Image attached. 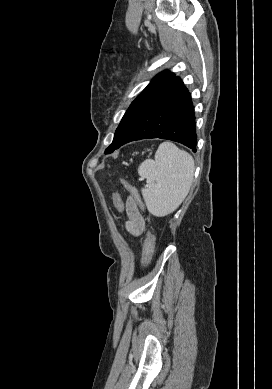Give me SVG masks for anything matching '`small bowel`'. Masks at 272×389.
Segmentation results:
<instances>
[{"label":"small bowel","mask_w":272,"mask_h":389,"mask_svg":"<svg viewBox=\"0 0 272 389\" xmlns=\"http://www.w3.org/2000/svg\"><path fill=\"white\" fill-rule=\"evenodd\" d=\"M127 215L126 229L133 236H140L145 229V221L139 210L138 203L129 197L125 202Z\"/></svg>","instance_id":"obj_1"}]
</instances>
